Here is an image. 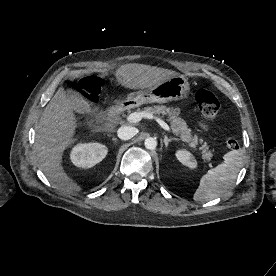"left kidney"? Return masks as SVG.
I'll return each mask as SVG.
<instances>
[{
	"label": "left kidney",
	"mask_w": 276,
	"mask_h": 276,
	"mask_svg": "<svg viewBox=\"0 0 276 276\" xmlns=\"http://www.w3.org/2000/svg\"><path fill=\"white\" fill-rule=\"evenodd\" d=\"M177 159L185 166L194 169L197 166V162L194 156L186 150H178L176 152Z\"/></svg>",
	"instance_id": "obj_1"
}]
</instances>
